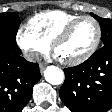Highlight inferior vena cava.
<instances>
[{
  "mask_svg": "<svg viewBox=\"0 0 112 112\" xmlns=\"http://www.w3.org/2000/svg\"><path fill=\"white\" fill-rule=\"evenodd\" d=\"M25 59L30 62L38 61L40 59V55L37 52H29L24 55Z\"/></svg>",
  "mask_w": 112,
  "mask_h": 112,
  "instance_id": "602c4592",
  "label": "inferior vena cava"
}]
</instances>
